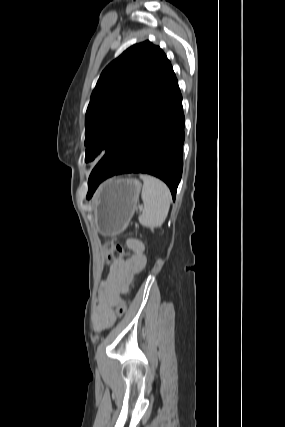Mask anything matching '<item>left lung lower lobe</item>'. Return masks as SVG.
<instances>
[{
    "label": "left lung lower lobe",
    "instance_id": "left-lung-lower-lobe-1",
    "mask_svg": "<svg viewBox=\"0 0 285 427\" xmlns=\"http://www.w3.org/2000/svg\"><path fill=\"white\" fill-rule=\"evenodd\" d=\"M183 143L182 96L171 66L147 106L91 172L87 198L113 175L147 173L163 180L175 199L182 175Z\"/></svg>",
    "mask_w": 285,
    "mask_h": 427
}]
</instances>
